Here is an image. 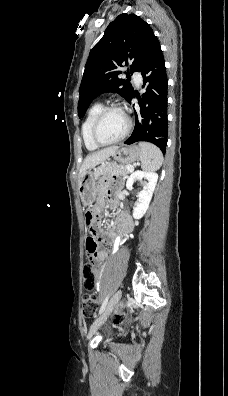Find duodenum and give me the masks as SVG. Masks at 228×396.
<instances>
[{
	"instance_id": "duodenum-1",
	"label": "duodenum",
	"mask_w": 228,
	"mask_h": 396,
	"mask_svg": "<svg viewBox=\"0 0 228 396\" xmlns=\"http://www.w3.org/2000/svg\"><path fill=\"white\" fill-rule=\"evenodd\" d=\"M115 227L121 236L127 235L131 229L128 221L122 216H119L118 222L115 223Z\"/></svg>"
}]
</instances>
